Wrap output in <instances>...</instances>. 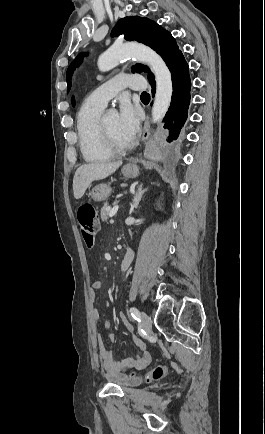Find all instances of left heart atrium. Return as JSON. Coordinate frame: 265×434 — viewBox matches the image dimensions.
<instances>
[{
  "instance_id": "obj_1",
  "label": "left heart atrium",
  "mask_w": 265,
  "mask_h": 434,
  "mask_svg": "<svg viewBox=\"0 0 265 434\" xmlns=\"http://www.w3.org/2000/svg\"><path fill=\"white\" fill-rule=\"evenodd\" d=\"M118 127L121 137L132 143L139 132L140 110L133 106L128 98L120 99Z\"/></svg>"
}]
</instances>
